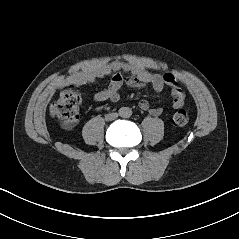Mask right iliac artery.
I'll use <instances>...</instances> for the list:
<instances>
[{
	"mask_svg": "<svg viewBox=\"0 0 239 239\" xmlns=\"http://www.w3.org/2000/svg\"><path fill=\"white\" fill-rule=\"evenodd\" d=\"M120 114H122L123 113V111L122 110H120V112H119Z\"/></svg>",
	"mask_w": 239,
	"mask_h": 239,
	"instance_id": "right-iliac-artery-1",
	"label": "right iliac artery"
}]
</instances>
